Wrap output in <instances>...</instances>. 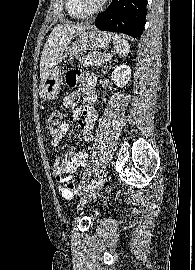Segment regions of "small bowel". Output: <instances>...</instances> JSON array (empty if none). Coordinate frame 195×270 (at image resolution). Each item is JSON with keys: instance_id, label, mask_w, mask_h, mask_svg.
<instances>
[{"instance_id": "obj_1", "label": "small bowel", "mask_w": 195, "mask_h": 270, "mask_svg": "<svg viewBox=\"0 0 195 270\" xmlns=\"http://www.w3.org/2000/svg\"><path fill=\"white\" fill-rule=\"evenodd\" d=\"M66 82L69 86L74 87L81 85L82 93L85 99L89 102L84 106L74 109L73 117L77 120L78 126L81 129L82 143H89L93 139V123L96 119V112L91 103L96 99L94 87V78L92 75L84 73L79 70L69 71L66 75ZM75 102L73 94H67L63 99V106L65 109H70ZM69 125L66 122L61 123L59 126L49 129L51 136V146L57 147L62 139L67 135ZM88 163V154L86 150L80 145L79 149L74 152L71 148L66 154L65 158H55L52 174L59 183L71 181L74 174L80 167L86 166ZM59 192L66 199H71L73 194L65 187L60 186Z\"/></svg>"}]
</instances>
